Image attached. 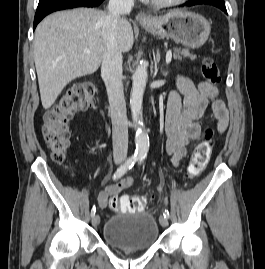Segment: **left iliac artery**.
I'll return each mask as SVG.
<instances>
[{"label":"left iliac artery","mask_w":265,"mask_h":269,"mask_svg":"<svg viewBox=\"0 0 265 269\" xmlns=\"http://www.w3.org/2000/svg\"><path fill=\"white\" fill-rule=\"evenodd\" d=\"M143 160H144V157H140V158H139V163H142ZM163 215H164V217L167 218V219H168L169 216H170L168 210H165V211L163 212Z\"/></svg>","instance_id":"44dca946"}]
</instances>
